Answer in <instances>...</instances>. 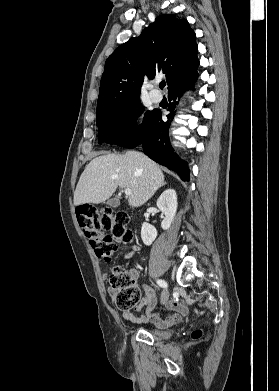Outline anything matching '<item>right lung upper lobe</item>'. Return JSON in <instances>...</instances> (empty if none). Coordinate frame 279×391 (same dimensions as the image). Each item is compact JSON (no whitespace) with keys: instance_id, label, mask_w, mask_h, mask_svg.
I'll use <instances>...</instances> for the list:
<instances>
[{"instance_id":"obj_1","label":"right lung upper lobe","mask_w":279,"mask_h":391,"mask_svg":"<svg viewBox=\"0 0 279 391\" xmlns=\"http://www.w3.org/2000/svg\"><path fill=\"white\" fill-rule=\"evenodd\" d=\"M196 35L185 19L161 15L138 38L119 46L106 60L97 113L140 100L145 78L165 74L168 91L196 72Z\"/></svg>"}]
</instances>
